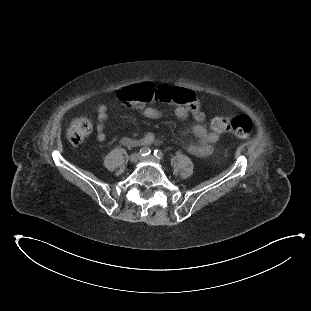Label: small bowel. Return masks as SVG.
I'll return each instance as SVG.
<instances>
[{
	"instance_id": "1",
	"label": "small bowel",
	"mask_w": 311,
	"mask_h": 311,
	"mask_svg": "<svg viewBox=\"0 0 311 311\" xmlns=\"http://www.w3.org/2000/svg\"><path fill=\"white\" fill-rule=\"evenodd\" d=\"M163 88H170V86L166 85L163 86ZM142 113L144 117L150 120H156L162 116V112L153 106H144L142 108ZM175 116L181 120L186 119L188 117V110L183 106H178L175 109ZM107 119L108 114L106 109L100 108L97 113L96 124L97 139L100 142H103L106 138L104 128ZM191 132L197 138V141L188 143L186 145V150L190 154L197 157H204L210 155L213 151V144L216 143L220 138L219 133L208 131L202 123H195L191 127ZM133 140L137 139L124 138L123 143L126 145H134L135 143L133 142ZM138 140L143 142V144L141 145H151L157 140V137L152 133H147Z\"/></svg>"
}]
</instances>
